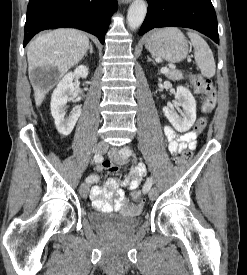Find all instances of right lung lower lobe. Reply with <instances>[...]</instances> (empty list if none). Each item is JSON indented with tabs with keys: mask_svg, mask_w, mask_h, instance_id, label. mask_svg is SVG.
I'll list each match as a JSON object with an SVG mask.
<instances>
[{
	"mask_svg": "<svg viewBox=\"0 0 247 275\" xmlns=\"http://www.w3.org/2000/svg\"><path fill=\"white\" fill-rule=\"evenodd\" d=\"M117 0H30L27 7L24 47L45 29L72 27L97 36L102 44Z\"/></svg>",
	"mask_w": 247,
	"mask_h": 275,
	"instance_id": "obj_1",
	"label": "right lung lower lobe"
}]
</instances>
